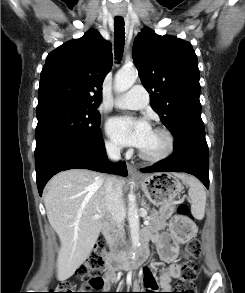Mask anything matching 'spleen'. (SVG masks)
<instances>
[{
	"instance_id": "3e777b00",
	"label": "spleen",
	"mask_w": 245,
	"mask_h": 293,
	"mask_svg": "<svg viewBox=\"0 0 245 293\" xmlns=\"http://www.w3.org/2000/svg\"><path fill=\"white\" fill-rule=\"evenodd\" d=\"M188 195L191 200V212L194 218L201 220L205 215L206 192L203 184L194 177H187Z\"/></svg>"
}]
</instances>
